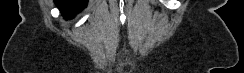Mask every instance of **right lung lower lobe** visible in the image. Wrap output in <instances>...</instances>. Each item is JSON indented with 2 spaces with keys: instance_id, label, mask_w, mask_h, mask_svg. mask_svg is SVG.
<instances>
[{
  "instance_id": "1",
  "label": "right lung lower lobe",
  "mask_w": 244,
  "mask_h": 73,
  "mask_svg": "<svg viewBox=\"0 0 244 73\" xmlns=\"http://www.w3.org/2000/svg\"><path fill=\"white\" fill-rule=\"evenodd\" d=\"M55 2L63 16L68 18L81 11L87 5L88 0H55Z\"/></svg>"
}]
</instances>
